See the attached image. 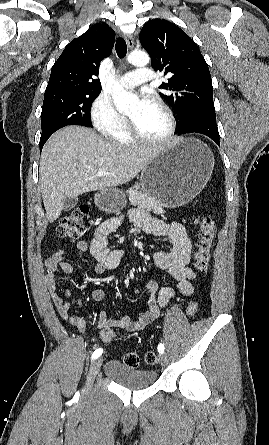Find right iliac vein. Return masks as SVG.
<instances>
[{"instance_id":"right-iliac-vein-1","label":"right iliac vein","mask_w":269,"mask_h":445,"mask_svg":"<svg viewBox=\"0 0 269 445\" xmlns=\"http://www.w3.org/2000/svg\"><path fill=\"white\" fill-rule=\"evenodd\" d=\"M102 361L103 359L97 358L95 361L92 362L91 366H90V370H89V374L87 377V382H86V387L84 390V393L87 394L89 392V390L91 389L92 383L94 381L95 376L98 374L100 367L102 365Z\"/></svg>"}]
</instances>
